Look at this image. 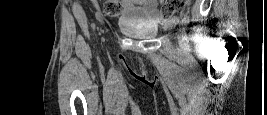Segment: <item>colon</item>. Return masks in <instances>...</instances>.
Masks as SVG:
<instances>
[{
	"label": "colon",
	"mask_w": 267,
	"mask_h": 115,
	"mask_svg": "<svg viewBox=\"0 0 267 115\" xmlns=\"http://www.w3.org/2000/svg\"><path fill=\"white\" fill-rule=\"evenodd\" d=\"M122 0H107L104 4V14L108 16H117L123 9ZM190 0H166L162 4L160 15L163 19L168 20L172 18L176 13L180 12Z\"/></svg>",
	"instance_id": "obj_1"
}]
</instances>
